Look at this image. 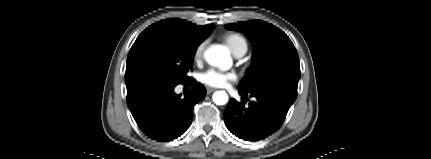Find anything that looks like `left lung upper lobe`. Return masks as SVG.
Returning <instances> with one entry per match:
<instances>
[{
	"label": "left lung upper lobe",
	"mask_w": 431,
	"mask_h": 159,
	"mask_svg": "<svg viewBox=\"0 0 431 159\" xmlns=\"http://www.w3.org/2000/svg\"><path fill=\"white\" fill-rule=\"evenodd\" d=\"M226 28L242 32L253 45L252 65L238 85V90L250 93L277 87L297 95L299 57L284 32L259 20L228 24Z\"/></svg>",
	"instance_id": "1"
}]
</instances>
